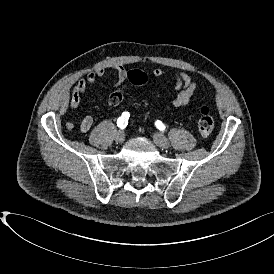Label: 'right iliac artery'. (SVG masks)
I'll use <instances>...</instances> for the list:
<instances>
[{"label":"right iliac artery","instance_id":"82829eb1","mask_svg":"<svg viewBox=\"0 0 274 274\" xmlns=\"http://www.w3.org/2000/svg\"><path fill=\"white\" fill-rule=\"evenodd\" d=\"M129 116L130 115H129L128 112H124L122 114V116L119 117L118 120H117L118 127H120L121 129H124L127 126V124H128Z\"/></svg>","mask_w":274,"mask_h":274}]
</instances>
